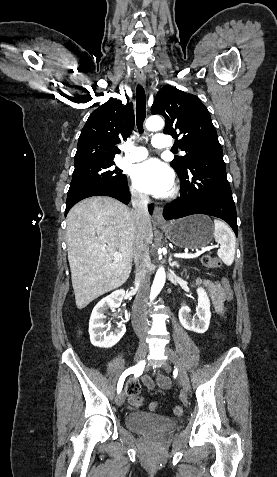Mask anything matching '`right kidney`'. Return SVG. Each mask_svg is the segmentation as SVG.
<instances>
[{
    "instance_id": "1",
    "label": "right kidney",
    "mask_w": 277,
    "mask_h": 477,
    "mask_svg": "<svg viewBox=\"0 0 277 477\" xmlns=\"http://www.w3.org/2000/svg\"><path fill=\"white\" fill-rule=\"evenodd\" d=\"M125 296L123 289L116 290L110 295L104 297L94 307L90 320H89V334L91 343L100 348H111L119 342L126 332V327L123 322L118 323V326L114 331H104L106 325L104 319L106 318L105 312L110 308L115 310L118 308Z\"/></svg>"
}]
</instances>
